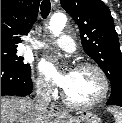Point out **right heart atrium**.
Returning <instances> with one entry per match:
<instances>
[{"label": "right heart atrium", "instance_id": "right-heart-atrium-1", "mask_svg": "<svg viewBox=\"0 0 122 123\" xmlns=\"http://www.w3.org/2000/svg\"><path fill=\"white\" fill-rule=\"evenodd\" d=\"M37 90L42 95H49L52 92L51 86L42 78H38L36 81Z\"/></svg>", "mask_w": 122, "mask_h": 123}]
</instances>
